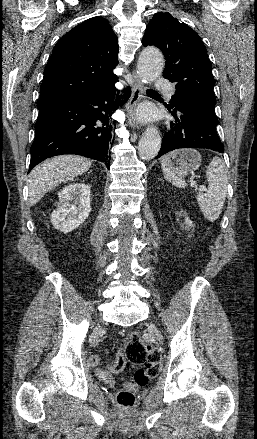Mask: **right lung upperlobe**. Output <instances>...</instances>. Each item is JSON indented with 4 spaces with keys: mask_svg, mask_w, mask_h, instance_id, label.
Returning a JSON list of instances; mask_svg holds the SVG:
<instances>
[{
    "mask_svg": "<svg viewBox=\"0 0 257 439\" xmlns=\"http://www.w3.org/2000/svg\"><path fill=\"white\" fill-rule=\"evenodd\" d=\"M118 42L108 21L95 17L67 32L44 70L38 108L97 90L116 79Z\"/></svg>",
    "mask_w": 257,
    "mask_h": 439,
    "instance_id": "right-lung-upper-lobe-1",
    "label": "right lung upper lobe"
}]
</instances>
